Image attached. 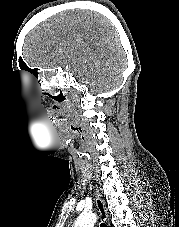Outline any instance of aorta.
I'll use <instances>...</instances> for the list:
<instances>
[{"instance_id": "762f6f07", "label": "aorta", "mask_w": 179, "mask_h": 227, "mask_svg": "<svg viewBox=\"0 0 179 227\" xmlns=\"http://www.w3.org/2000/svg\"><path fill=\"white\" fill-rule=\"evenodd\" d=\"M96 221V214L90 212H83L75 221L74 227H94Z\"/></svg>"}]
</instances>
